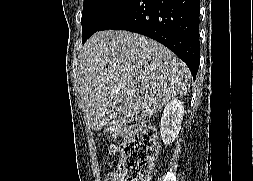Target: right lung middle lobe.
Returning a JSON list of instances; mask_svg holds the SVG:
<instances>
[{
	"mask_svg": "<svg viewBox=\"0 0 253 181\" xmlns=\"http://www.w3.org/2000/svg\"><path fill=\"white\" fill-rule=\"evenodd\" d=\"M129 0H84L82 36L99 30Z\"/></svg>",
	"mask_w": 253,
	"mask_h": 181,
	"instance_id": "dd1d6c3e",
	"label": "right lung middle lobe"
}]
</instances>
